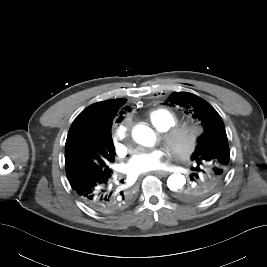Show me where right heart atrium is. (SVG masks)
Returning <instances> with one entry per match:
<instances>
[{"mask_svg":"<svg viewBox=\"0 0 267 267\" xmlns=\"http://www.w3.org/2000/svg\"><path fill=\"white\" fill-rule=\"evenodd\" d=\"M129 129L125 123H121L116 130V136L114 138L115 147L118 153H121L125 150V145L122 141H125L128 138Z\"/></svg>","mask_w":267,"mask_h":267,"instance_id":"right-heart-atrium-1","label":"right heart atrium"}]
</instances>
